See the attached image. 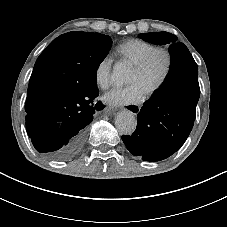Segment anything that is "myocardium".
Masks as SVG:
<instances>
[{"instance_id":"f54148a6","label":"myocardium","mask_w":227,"mask_h":227,"mask_svg":"<svg viewBox=\"0 0 227 227\" xmlns=\"http://www.w3.org/2000/svg\"><path fill=\"white\" fill-rule=\"evenodd\" d=\"M158 57H161L164 61L163 71L158 81L147 89L148 95H154L167 83L173 67L172 53L168 48L155 47L134 67L135 73L144 74Z\"/></svg>"}]
</instances>
